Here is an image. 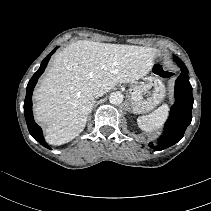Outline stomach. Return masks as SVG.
I'll use <instances>...</instances> for the list:
<instances>
[{
  "label": "stomach",
  "instance_id": "0dacf381",
  "mask_svg": "<svg viewBox=\"0 0 211 211\" xmlns=\"http://www.w3.org/2000/svg\"><path fill=\"white\" fill-rule=\"evenodd\" d=\"M154 66L150 76L130 88V106L134 113L150 112L165 98V85L159 73L153 70Z\"/></svg>",
  "mask_w": 211,
  "mask_h": 211
}]
</instances>
